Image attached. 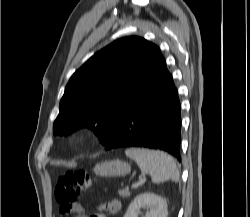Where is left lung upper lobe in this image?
<instances>
[{
    "mask_svg": "<svg viewBox=\"0 0 250 217\" xmlns=\"http://www.w3.org/2000/svg\"><path fill=\"white\" fill-rule=\"evenodd\" d=\"M159 54L155 44L136 36L119 39L94 54L65 87L54 135L67 136L87 127L101 135L103 144Z\"/></svg>",
    "mask_w": 250,
    "mask_h": 217,
    "instance_id": "5c2ea615",
    "label": "left lung upper lobe"
}]
</instances>
